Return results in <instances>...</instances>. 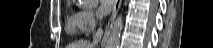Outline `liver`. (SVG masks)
<instances>
[{
	"label": "liver",
	"instance_id": "liver-1",
	"mask_svg": "<svg viewBox=\"0 0 213 48\" xmlns=\"http://www.w3.org/2000/svg\"><path fill=\"white\" fill-rule=\"evenodd\" d=\"M67 48H95V47L94 44L90 43L89 41L80 40L76 43L69 45V47Z\"/></svg>",
	"mask_w": 213,
	"mask_h": 48
}]
</instances>
